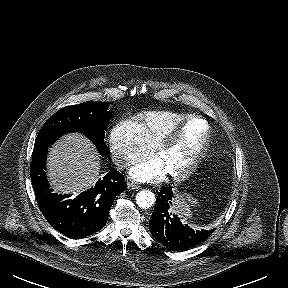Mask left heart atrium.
Returning <instances> with one entry per match:
<instances>
[{"label":"left heart atrium","instance_id":"obj_1","mask_svg":"<svg viewBox=\"0 0 288 288\" xmlns=\"http://www.w3.org/2000/svg\"><path fill=\"white\" fill-rule=\"evenodd\" d=\"M167 170L159 157L137 164L130 175L137 181H154L165 176Z\"/></svg>","mask_w":288,"mask_h":288}]
</instances>
